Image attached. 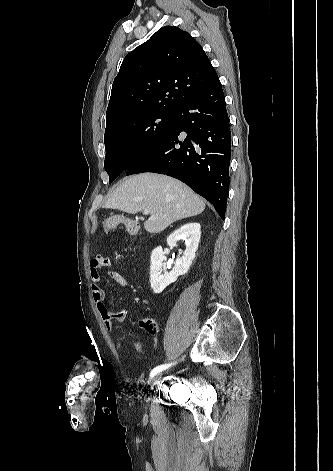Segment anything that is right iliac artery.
<instances>
[{
    "mask_svg": "<svg viewBox=\"0 0 333 471\" xmlns=\"http://www.w3.org/2000/svg\"><path fill=\"white\" fill-rule=\"evenodd\" d=\"M172 365V363L170 364H163V365H159L157 367H155L151 372H150V376H153L159 372H161L162 370H165L166 368L170 367Z\"/></svg>",
    "mask_w": 333,
    "mask_h": 471,
    "instance_id": "obj_1",
    "label": "right iliac artery"
}]
</instances>
